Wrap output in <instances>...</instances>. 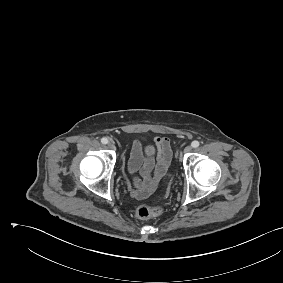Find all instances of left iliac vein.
I'll return each instance as SVG.
<instances>
[{
	"mask_svg": "<svg viewBox=\"0 0 283 283\" xmlns=\"http://www.w3.org/2000/svg\"><path fill=\"white\" fill-rule=\"evenodd\" d=\"M192 151V147L191 146H187V147H185V149H184V152L185 153H189V152H191Z\"/></svg>",
	"mask_w": 283,
	"mask_h": 283,
	"instance_id": "obj_1",
	"label": "left iliac vein"
}]
</instances>
